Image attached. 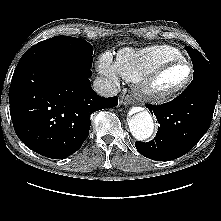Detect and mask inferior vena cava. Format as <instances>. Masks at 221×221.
Instances as JSON below:
<instances>
[{"label": "inferior vena cava", "mask_w": 221, "mask_h": 221, "mask_svg": "<svg viewBox=\"0 0 221 221\" xmlns=\"http://www.w3.org/2000/svg\"><path fill=\"white\" fill-rule=\"evenodd\" d=\"M93 88L97 94L103 97H112L118 93L116 85L102 77H97L93 81Z\"/></svg>", "instance_id": "602c4592"}]
</instances>
